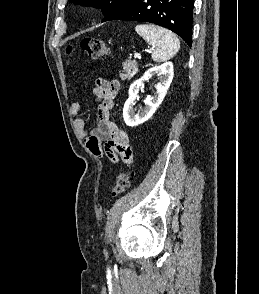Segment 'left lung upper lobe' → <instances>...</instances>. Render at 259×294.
<instances>
[{"instance_id": "obj_1", "label": "left lung upper lobe", "mask_w": 259, "mask_h": 294, "mask_svg": "<svg viewBox=\"0 0 259 294\" xmlns=\"http://www.w3.org/2000/svg\"><path fill=\"white\" fill-rule=\"evenodd\" d=\"M132 1L133 0H69V2L76 5L101 8L102 13L105 16L103 20H106Z\"/></svg>"}]
</instances>
